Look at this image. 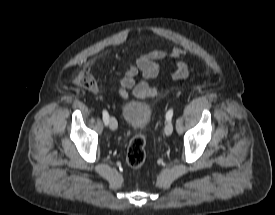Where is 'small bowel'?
Listing matches in <instances>:
<instances>
[{
  "label": "small bowel",
  "instance_id": "1",
  "mask_svg": "<svg viewBox=\"0 0 275 215\" xmlns=\"http://www.w3.org/2000/svg\"><path fill=\"white\" fill-rule=\"evenodd\" d=\"M169 57V61L165 59ZM186 52L174 47L169 54L163 49H153L141 55L134 63L130 64L124 71L123 76L119 79L118 94L123 99H128V90H132L134 96L145 99L152 98L158 94V87L150 84L164 67H171L172 80H181L188 75V65L185 62ZM141 72L142 78L136 81L135 77Z\"/></svg>",
  "mask_w": 275,
  "mask_h": 215
}]
</instances>
